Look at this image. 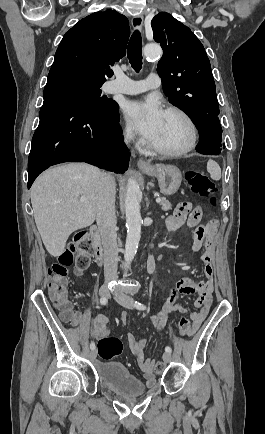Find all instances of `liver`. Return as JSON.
Listing matches in <instances>:
<instances>
[{
  "label": "liver",
  "instance_id": "liver-1",
  "mask_svg": "<svg viewBox=\"0 0 265 434\" xmlns=\"http://www.w3.org/2000/svg\"><path fill=\"white\" fill-rule=\"evenodd\" d=\"M99 174L98 168L88 164H65L35 180L30 190L34 220L47 252L54 258L65 252L72 232L96 220Z\"/></svg>",
  "mask_w": 265,
  "mask_h": 434
}]
</instances>
